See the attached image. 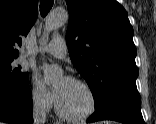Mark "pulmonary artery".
<instances>
[{
  "label": "pulmonary artery",
  "mask_w": 156,
  "mask_h": 124,
  "mask_svg": "<svg viewBox=\"0 0 156 124\" xmlns=\"http://www.w3.org/2000/svg\"><path fill=\"white\" fill-rule=\"evenodd\" d=\"M37 53H48L57 58H64L67 53L65 41L61 37H55L48 44L33 52V54Z\"/></svg>",
  "instance_id": "obj_1"
}]
</instances>
